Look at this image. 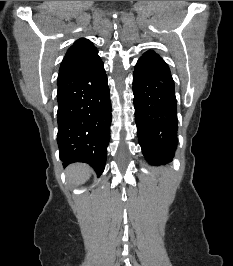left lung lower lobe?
Listing matches in <instances>:
<instances>
[{"instance_id":"left-lung-lower-lobe-1","label":"left lung lower lobe","mask_w":233,"mask_h":266,"mask_svg":"<svg viewBox=\"0 0 233 266\" xmlns=\"http://www.w3.org/2000/svg\"><path fill=\"white\" fill-rule=\"evenodd\" d=\"M135 121L146 160L155 165L171 162L177 143V104L174 81L166 62L147 51L133 74Z\"/></svg>"}]
</instances>
